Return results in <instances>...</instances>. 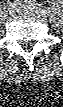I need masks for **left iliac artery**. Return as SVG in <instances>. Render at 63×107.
I'll return each mask as SVG.
<instances>
[{
  "mask_svg": "<svg viewBox=\"0 0 63 107\" xmlns=\"http://www.w3.org/2000/svg\"><path fill=\"white\" fill-rule=\"evenodd\" d=\"M15 5L26 6L30 10H34V12H36L37 14H40L42 16L49 15V10L46 7L42 6L41 4H38L34 0L33 1L24 0L23 2L16 0Z\"/></svg>",
  "mask_w": 63,
  "mask_h": 107,
  "instance_id": "obj_1",
  "label": "left iliac artery"
}]
</instances>
